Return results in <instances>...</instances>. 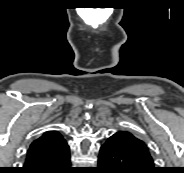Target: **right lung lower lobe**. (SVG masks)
<instances>
[{"mask_svg":"<svg viewBox=\"0 0 184 173\" xmlns=\"http://www.w3.org/2000/svg\"><path fill=\"white\" fill-rule=\"evenodd\" d=\"M71 167L69 146L50 156L26 160L20 173H75Z\"/></svg>","mask_w":184,"mask_h":173,"instance_id":"1","label":"right lung lower lobe"}]
</instances>
